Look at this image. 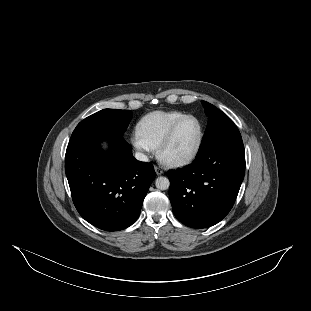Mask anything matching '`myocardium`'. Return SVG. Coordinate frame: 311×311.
Wrapping results in <instances>:
<instances>
[{
    "label": "myocardium",
    "mask_w": 311,
    "mask_h": 311,
    "mask_svg": "<svg viewBox=\"0 0 311 311\" xmlns=\"http://www.w3.org/2000/svg\"><path fill=\"white\" fill-rule=\"evenodd\" d=\"M188 119H195L199 124V139L195 150L189 156L185 158L175 159V160H167L164 158L163 154L167 147L171 145L173 142L175 135L179 129V127ZM204 143V125L201 119L195 115L187 114L186 116L180 118L168 131L165 137L161 140L159 145L157 146V154L162 163L169 167H181L192 163L200 154L201 149Z\"/></svg>",
    "instance_id": "myocardium-1"
}]
</instances>
